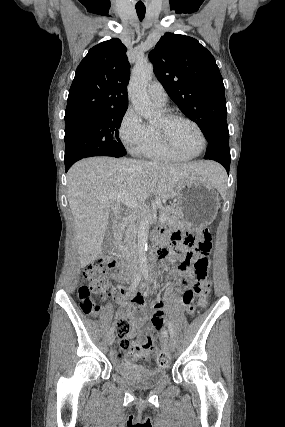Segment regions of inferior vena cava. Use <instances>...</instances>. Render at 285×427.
I'll list each match as a JSON object with an SVG mask.
<instances>
[{"instance_id": "1", "label": "inferior vena cava", "mask_w": 285, "mask_h": 427, "mask_svg": "<svg viewBox=\"0 0 285 427\" xmlns=\"http://www.w3.org/2000/svg\"><path fill=\"white\" fill-rule=\"evenodd\" d=\"M126 240L128 245L130 246V248L132 249L134 255L136 253V240H135V235H134V231L132 226H129L128 230L126 231ZM131 268L133 270H137V264L136 262H132L131 264Z\"/></svg>"}]
</instances>
